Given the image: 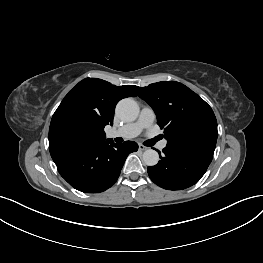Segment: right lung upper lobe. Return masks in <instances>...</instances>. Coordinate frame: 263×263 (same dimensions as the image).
I'll use <instances>...</instances> for the list:
<instances>
[{
    "label": "right lung upper lobe",
    "instance_id": "1",
    "mask_svg": "<svg viewBox=\"0 0 263 263\" xmlns=\"http://www.w3.org/2000/svg\"><path fill=\"white\" fill-rule=\"evenodd\" d=\"M133 86H115L85 78L64 97L49 128L51 157L105 141L104 127L113 124L115 106L122 98L136 96Z\"/></svg>",
    "mask_w": 263,
    "mask_h": 263
}]
</instances>
